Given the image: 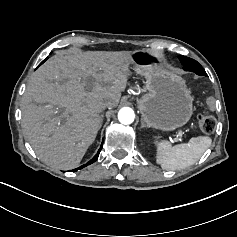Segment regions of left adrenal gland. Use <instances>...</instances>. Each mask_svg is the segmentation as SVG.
Instances as JSON below:
<instances>
[{"label": "left adrenal gland", "instance_id": "left-adrenal-gland-1", "mask_svg": "<svg viewBox=\"0 0 237 237\" xmlns=\"http://www.w3.org/2000/svg\"><path fill=\"white\" fill-rule=\"evenodd\" d=\"M141 127H144V122L143 121H141Z\"/></svg>", "mask_w": 237, "mask_h": 237}]
</instances>
